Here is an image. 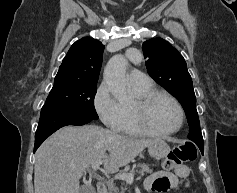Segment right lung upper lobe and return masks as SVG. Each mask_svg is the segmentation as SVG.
<instances>
[{
	"mask_svg": "<svg viewBox=\"0 0 237 193\" xmlns=\"http://www.w3.org/2000/svg\"><path fill=\"white\" fill-rule=\"evenodd\" d=\"M104 45L93 38L84 37L69 49L55 78L84 82H97L102 64Z\"/></svg>",
	"mask_w": 237,
	"mask_h": 193,
	"instance_id": "cb5924a9",
	"label": "right lung upper lobe"
}]
</instances>
